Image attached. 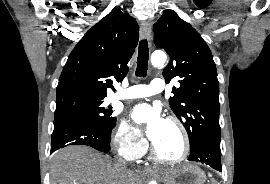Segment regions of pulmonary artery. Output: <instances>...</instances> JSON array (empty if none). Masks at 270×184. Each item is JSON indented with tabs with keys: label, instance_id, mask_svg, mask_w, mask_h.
Returning a JSON list of instances; mask_svg holds the SVG:
<instances>
[{
	"label": "pulmonary artery",
	"instance_id": "obj_1",
	"mask_svg": "<svg viewBox=\"0 0 270 184\" xmlns=\"http://www.w3.org/2000/svg\"><path fill=\"white\" fill-rule=\"evenodd\" d=\"M165 88V83L160 78H155L150 84H139L131 86L127 89L120 90L114 96L115 99H135L152 96L161 93Z\"/></svg>",
	"mask_w": 270,
	"mask_h": 184
}]
</instances>
